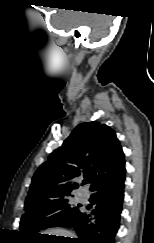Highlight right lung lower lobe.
<instances>
[{
    "instance_id": "1",
    "label": "right lung lower lobe",
    "mask_w": 154,
    "mask_h": 243,
    "mask_svg": "<svg viewBox=\"0 0 154 243\" xmlns=\"http://www.w3.org/2000/svg\"><path fill=\"white\" fill-rule=\"evenodd\" d=\"M125 165L90 188L89 211L79 210L59 226L74 227L79 238L66 243H115L124 198Z\"/></svg>"
}]
</instances>
